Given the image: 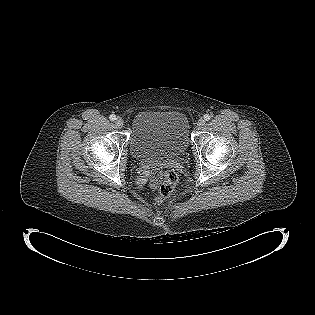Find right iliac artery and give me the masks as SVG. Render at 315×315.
<instances>
[{"label": "right iliac artery", "mask_w": 315, "mask_h": 315, "mask_svg": "<svg viewBox=\"0 0 315 315\" xmlns=\"http://www.w3.org/2000/svg\"><path fill=\"white\" fill-rule=\"evenodd\" d=\"M109 118H110L111 121H114L116 119V116L114 114H112V115H110Z\"/></svg>", "instance_id": "1"}]
</instances>
